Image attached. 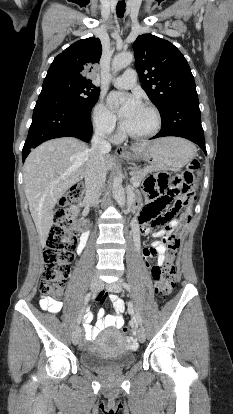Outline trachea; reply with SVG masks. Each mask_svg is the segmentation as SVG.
<instances>
[{"label": "trachea", "instance_id": "1", "mask_svg": "<svg viewBox=\"0 0 233 414\" xmlns=\"http://www.w3.org/2000/svg\"><path fill=\"white\" fill-rule=\"evenodd\" d=\"M125 7H126V4H125V1H124V0L119 1V2L117 3V6H116V13H117V16H118L119 18H122V17L124 16V13H125Z\"/></svg>", "mask_w": 233, "mask_h": 414}]
</instances>
